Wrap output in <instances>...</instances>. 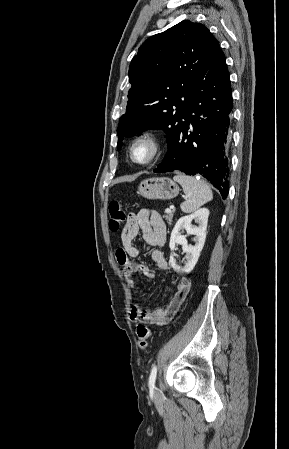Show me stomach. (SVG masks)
<instances>
[{
	"label": "stomach",
	"instance_id": "1",
	"mask_svg": "<svg viewBox=\"0 0 289 449\" xmlns=\"http://www.w3.org/2000/svg\"><path fill=\"white\" fill-rule=\"evenodd\" d=\"M137 193L147 199L169 200L179 193L178 185L170 178H149L141 181Z\"/></svg>",
	"mask_w": 289,
	"mask_h": 449
}]
</instances>
